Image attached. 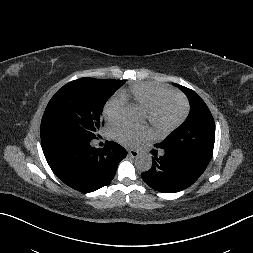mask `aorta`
Masks as SVG:
<instances>
[{
    "label": "aorta",
    "mask_w": 253,
    "mask_h": 253,
    "mask_svg": "<svg viewBox=\"0 0 253 253\" xmlns=\"http://www.w3.org/2000/svg\"><path fill=\"white\" fill-rule=\"evenodd\" d=\"M123 118L129 124L139 123L142 119L141 109L136 105H127L123 111ZM135 166L139 171L147 172L152 167L151 156L147 153L138 155Z\"/></svg>",
    "instance_id": "762f6f07"
}]
</instances>
